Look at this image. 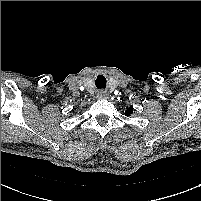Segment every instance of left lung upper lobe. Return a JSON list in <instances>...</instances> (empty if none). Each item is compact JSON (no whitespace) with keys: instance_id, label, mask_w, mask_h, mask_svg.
<instances>
[{"instance_id":"5c2ea615","label":"left lung upper lobe","mask_w":201,"mask_h":201,"mask_svg":"<svg viewBox=\"0 0 201 201\" xmlns=\"http://www.w3.org/2000/svg\"><path fill=\"white\" fill-rule=\"evenodd\" d=\"M133 113V107L127 108V111L125 112L126 116H130Z\"/></svg>"}]
</instances>
